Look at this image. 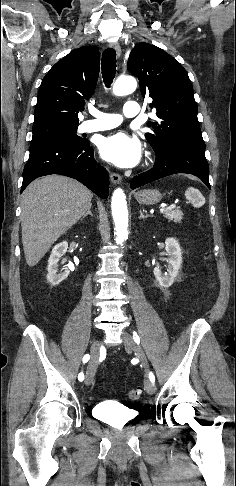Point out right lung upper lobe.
<instances>
[{
    "label": "right lung upper lobe",
    "mask_w": 236,
    "mask_h": 486,
    "mask_svg": "<svg viewBox=\"0 0 236 486\" xmlns=\"http://www.w3.org/2000/svg\"><path fill=\"white\" fill-rule=\"evenodd\" d=\"M100 53L95 46L73 50L43 78L34 112V124H79L78 111L95 91Z\"/></svg>",
    "instance_id": "right-lung-upper-lobe-1"
}]
</instances>
